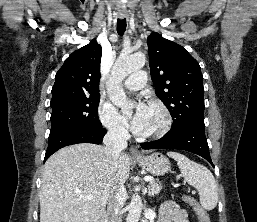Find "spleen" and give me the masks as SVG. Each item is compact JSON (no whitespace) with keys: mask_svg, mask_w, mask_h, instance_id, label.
Segmentation results:
<instances>
[{"mask_svg":"<svg viewBox=\"0 0 257 222\" xmlns=\"http://www.w3.org/2000/svg\"><path fill=\"white\" fill-rule=\"evenodd\" d=\"M167 155L177 161L183 178L198 190L201 206L213 210L218 202V189L210 170L180 153L168 152Z\"/></svg>","mask_w":257,"mask_h":222,"instance_id":"1","label":"spleen"}]
</instances>
